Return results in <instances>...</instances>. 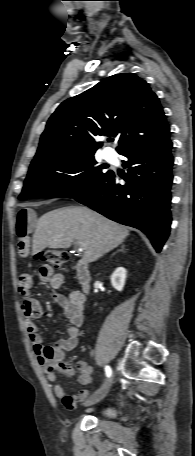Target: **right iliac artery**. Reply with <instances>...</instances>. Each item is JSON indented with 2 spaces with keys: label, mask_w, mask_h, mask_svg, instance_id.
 Returning <instances> with one entry per match:
<instances>
[{
  "label": "right iliac artery",
  "mask_w": 195,
  "mask_h": 456,
  "mask_svg": "<svg viewBox=\"0 0 195 456\" xmlns=\"http://www.w3.org/2000/svg\"><path fill=\"white\" fill-rule=\"evenodd\" d=\"M105 372H106L107 377H110L112 375V370L109 366L105 367Z\"/></svg>",
  "instance_id": "obj_1"
}]
</instances>
